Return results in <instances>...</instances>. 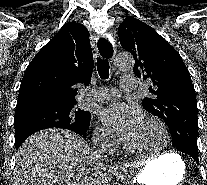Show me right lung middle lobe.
<instances>
[{
    "label": "right lung middle lobe",
    "instance_id": "right-lung-middle-lobe-1",
    "mask_svg": "<svg viewBox=\"0 0 207 185\" xmlns=\"http://www.w3.org/2000/svg\"><path fill=\"white\" fill-rule=\"evenodd\" d=\"M90 119V112L76 107L42 105L17 110L14 117L15 143L52 127L86 133Z\"/></svg>",
    "mask_w": 207,
    "mask_h": 185
}]
</instances>
